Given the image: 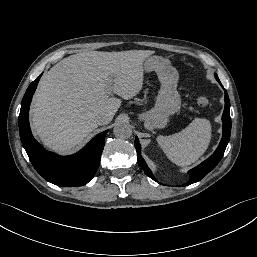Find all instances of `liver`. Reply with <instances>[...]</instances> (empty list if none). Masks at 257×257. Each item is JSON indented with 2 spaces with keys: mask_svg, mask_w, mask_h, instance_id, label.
<instances>
[{
  "mask_svg": "<svg viewBox=\"0 0 257 257\" xmlns=\"http://www.w3.org/2000/svg\"><path fill=\"white\" fill-rule=\"evenodd\" d=\"M153 53L88 51L54 65L42 76L31 106L32 127L43 144L66 152L97 128V116L109 114L112 120L121 100L109 97L107 87L126 100L136 96L143 87V62Z\"/></svg>",
  "mask_w": 257,
  "mask_h": 257,
  "instance_id": "1",
  "label": "liver"
}]
</instances>
